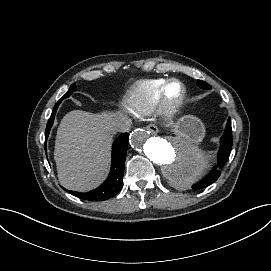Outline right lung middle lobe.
Here are the masks:
<instances>
[{"instance_id": "obj_1", "label": "right lung middle lobe", "mask_w": 271, "mask_h": 271, "mask_svg": "<svg viewBox=\"0 0 271 271\" xmlns=\"http://www.w3.org/2000/svg\"><path fill=\"white\" fill-rule=\"evenodd\" d=\"M74 89H75V83L72 84V85L70 86L69 90H68V91L66 92V94L58 101V103H60L63 99L69 97V96L72 94V92H73Z\"/></svg>"}]
</instances>
